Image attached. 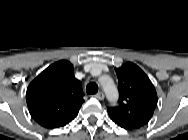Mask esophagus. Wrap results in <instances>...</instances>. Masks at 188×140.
<instances>
[{
    "mask_svg": "<svg viewBox=\"0 0 188 140\" xmlns=\"http://www.w3.org/2000/svg\"><path fill=\"white\" fill-rule=\"evenodd\" d=\"M94 97L98 100H103L104 94H103V92H98L97 94L94 95Z\"/></svg>",
    "mask_w": 188,
    "mask_h": 140,
    "instance_id": "34e87169",
    "label": "esophagus"
}]
</instances>
